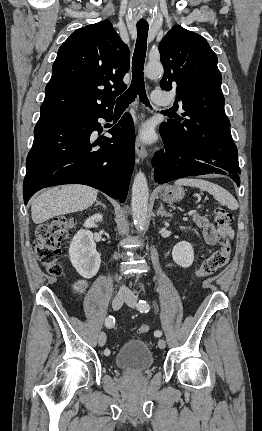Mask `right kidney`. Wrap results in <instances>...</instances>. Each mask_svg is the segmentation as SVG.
<instances>
[{
	"instance_id": "right-kidney-1",
	"label": "right kidney",
	"mask_w": 262,
	"mask_h": 431,
	"mask_svg": "<svg viewBox=\"0 0 262 431\" xmlns=\"http://www.w3.org/2000/svg\"><path fill=\"white\" fill-rule=\"evenodd\" d=\"M102 220L103 216L100 213L89 217L84 223L86 229L79 230L70 244V261L76 271L84 278H92L100 268V254L96 251L93 234L88 229L97 227L96 222Z\"/></svg>"
}]
</instances>
